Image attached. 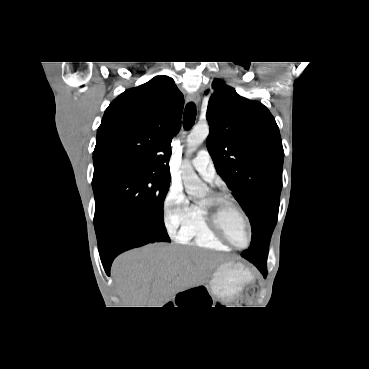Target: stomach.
I'll list each match as a JSON object with an SVG mask.
<instances>
[{"mask_svg": "<svg viewBox=\"0 0 369 369\" xmlns=\"http://www.w3.org/2000/svg\"><path fill=\"white\" fill-rule=\"evenodd\" d=\"M252 280L251 273L240 263L224 262L209 281L210 293L223 301H231Z\"/></svg>", "mask_w": 369, "mask_h": 369, "instance_id": "obj_1", "label": "stomach"}]
</instances>
